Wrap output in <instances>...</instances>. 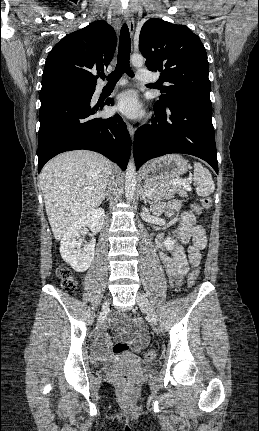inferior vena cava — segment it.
<instances>
[{
  "label": "inferior vena cava",
  "instance_id": "obj_1",
  "mask_svg": "<svg viewBox=\"0 0 259 431\" xmlns=\"http://www.w3.org/2000/svg\"><path fill=\"white\" fill-rule=\"evenodd\" d=\"M111 186V180L109 181V187Z\"/></svg>",
  "mask_w": 259,
  "mask_h": 431
}]
</instances>
